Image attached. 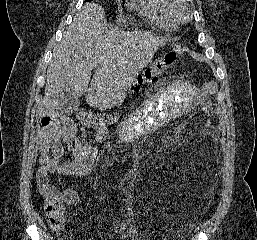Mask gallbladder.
Segmentation results:
<instances>
[{
  "label": "gallbladder",
  "mask_w": 257,
  "mask_h": 240,
  "mask_svg": "<svg viewBox=\"0 0 257 240\" xmlns=\"http://www.w3.org/2000/svg\"><path fill=\"white\" fill-rule=\"evenodd\" d=\"M67 86L60 96L59 103L55 107V112L58 116H67L77 111L80 105L78 98L74 97Z\"/></svg>",
  "instance_id": "1"
}]
</instances>
